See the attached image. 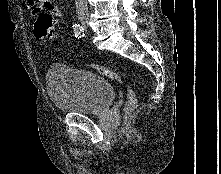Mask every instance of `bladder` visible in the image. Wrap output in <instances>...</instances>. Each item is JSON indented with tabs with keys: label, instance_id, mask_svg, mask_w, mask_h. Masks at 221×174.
<instances>
[{
	"label": "bladder",
	"instance_id": "bladder-1",
	"mask_svg": "<svg viewBox=\"0 0 221 174\" xmlns=\"http://www.w3.org/2000/svg\"><path fill=\"white\" fill-rule=\"evenodd\" d=\"M46 88L56 108L79 114H98L108 109L115 98L114 89L105 77L66 64L49 67Z\"/></svg>",
	"mask_w": 221,
	"mask_h": 174
}]
</instances>
